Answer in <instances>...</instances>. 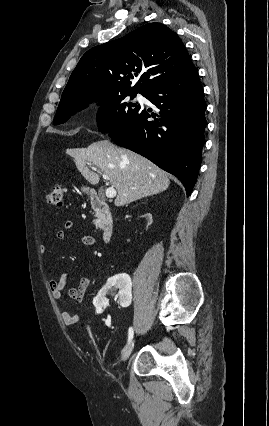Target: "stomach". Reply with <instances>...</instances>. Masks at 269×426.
I'll use <instances>...</instances> for the list:
<instances>
[{
	"label": "stomach",
	"mask_w": 269,
	"mask_h": 426,
	"mask_svg": "<svg viewBox=\"0 0 269 426\" xmlns=\"http://www.w3.org/2000/svg\"><path fill=\"white\" fill-rule=\"evenodd\" d=\"M82 190H83L85 193H89V192H90V189H89V188H87V187H83V188H82Z\"/></svg>",
	"instance_id": "obj_1"
}]
</instances>
